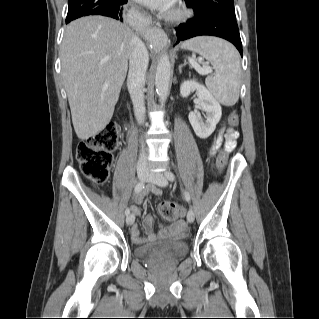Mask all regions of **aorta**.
<instances>
[{"label":"aorta","instance_id":"1","mask_svg":"<svg viewBox=\"0 0 319 319\" xmlns=\"http://www.w3.org/2000/svg\"><path fill=\"white\" fill-rule=\"evenodd\" d=\"M171 64L168 55L162 54L157 65L155 75L156 90L161 102L167 98L170 85Z\"/></svg>","mask_w":319,"mask_h":319}]
</instances>
